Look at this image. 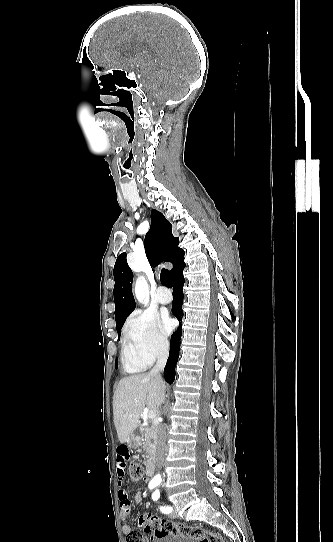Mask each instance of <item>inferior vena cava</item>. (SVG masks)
<instances>
[{
  "mask_svg": "<svg viewBox=\"0 0 333 542\" xmlns=\"http://www.w3.org/2000/svg\"><path fill=\"white\" fill-rule=\"evenodd\" d=\"M168 344H165L164 348H162L160 354H158V358H157V362H156V366H154V368H152L151 372H149V376H157V378H159V380H162L161 376H160V372H163L165 366H166V362H167V358H168ZM165 400V394L163 392V394H160V398L158 400V406H160V404H163ZM157 432H158V446H157V452H156V466L157 468H162L163 466V462H164V454H165V450H166V432L164 430V426H162V424H158L157 426Z\"/></svg>",
  "mask_w": 333,
  "mask_h": 542,
  "instance_id": "inferior-vena-cava-1",
  "label": "inferior vena cava"
}]
</instances>
